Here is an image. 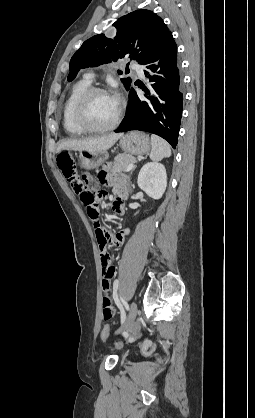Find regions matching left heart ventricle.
I'll use <instances>...</instances> for the list:
<instances>
[{"label": "left heart ventricle", "mask_w": 255, "mask_h": 418, "mask_svg": "<svg viewBox=\"0 0 255 418\" xmlns=\"http://www.w3.org/2000/svg\"><path fill=\"white\" fill-rule=\"evenodd\" d=\"M117 109L118 107L108 94H95L89 100L87 117L94 126H106L113 121Z\"/></svg>", "instance_id": "1"}]
</instances>
